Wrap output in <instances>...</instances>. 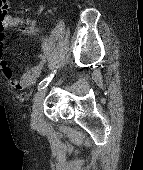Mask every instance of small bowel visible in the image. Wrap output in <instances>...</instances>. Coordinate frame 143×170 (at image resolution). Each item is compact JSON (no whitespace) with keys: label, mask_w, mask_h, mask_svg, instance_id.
<instances>
[{"label":"small bowel","mask_w":143,"mask_h":170,"mask_svg":"<svg viewBox=\"0 0 143 170\" xmlns=\"http://www.w3.org/2000/svg\"><path fill=\"white\" fill-rule=\"evenodd\" d=\"M46 9L45 5L40 6V12ZM12 27H22L21 33L23 35L37 36L43 33V28L40 27L36 21L30 17L13 16L7 14L0 18V68L4 76L10 81L11 85L17 90H25L31 88L36 83V80L41 75L43 70V61L45 55L41 56V60L25 69L19 79L14 76V71L10 67L8 61L4 57L3 42L6 37V30Z\"/></svg>","instance_id":"obj_1"}]
</instances>
